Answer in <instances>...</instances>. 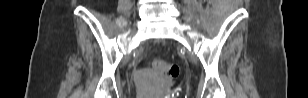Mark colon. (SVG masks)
I'll return each instance as SVG.
<instances>
[{
    "mask_svg": "<svg viewBox=\"0 0 308 98\" xmlns=\"http://www.w3.org/2000/svg\"><path fill=\"white\" fill-rule=\"evenodd\" d=\"M151 68L163 73L170 82L174 81L179 75L178 65L160 59L153 60Z\"/></svg>",
    "mask_w": 308,
    "mask_h": 98,
    "instance_id": "1",
    "label": "colon"
}]
</instances>
